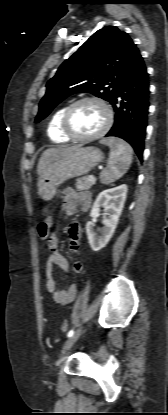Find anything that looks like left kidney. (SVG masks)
Returning a JSON list of instances; mask_svg holds the SVG:
<instances>
[{
  "label": "left kidney",
  "instance_id": "obj_1",
  "mask_svg": "<svg viewBox=\"0 0 168 415\" xmlns=\"http://www.w3.org/2000/svg\"><path fill=\"white\" fill-rule=\"evenodd\" d=\"M127 191V185L123 184L104 190L97 196L92 206L90 217L96 219L100 215L101 206L105 208L106 217L103 220L104 227L100 236H97L94 231L95 220L89 221L86 224L87 238L93 251H99L104 248L113 236L124 207Z\"/></svg>",
  "mask_w": 168,
  "mask_h": 415
}]
</instances>
